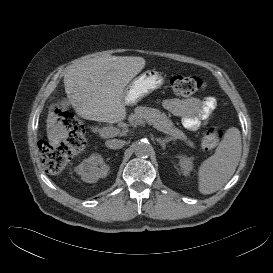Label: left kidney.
Masks as SVG:
<instances>
[{
	"instance_id": "1",
	"label": "left kidney",
	"mask_w": 273,
	"mask_h": 273,
	"mask_svg": "<svg viewBox=\"0 0 273 273\" xmlns=\"http://www.w3.org/2000/svg\"><path fill=\"white\" fill-rule=\"evenodd\" d=\"M179 166L182 174L188 176L193 169V159L187 156H180Z\"/></svg>"
}]
</instances>
